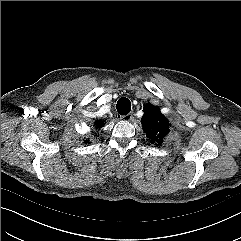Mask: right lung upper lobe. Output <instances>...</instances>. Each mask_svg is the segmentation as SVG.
Returning <instances> with one entry per match:
<instances>
[{
	"label": "right lung upper lobe",
	"instance_id": "right-lung-upper-lobe-1",
	"mask_svg": "<svg viewBox=\"0 0 241 241\" xmlns=\"http://www.w3.org/2000/svg\"><path fill=\"white\" fill-rule=\"evenodd\" d=\"M103 124H104V121L97 122V123H96V127H97V128H101ZM85 142L88 143V141H85Z\"/></svg>",
	"mask_w": 241,
	"mask_h": 241
}]
</instances>
